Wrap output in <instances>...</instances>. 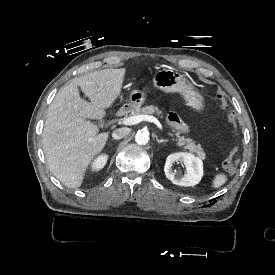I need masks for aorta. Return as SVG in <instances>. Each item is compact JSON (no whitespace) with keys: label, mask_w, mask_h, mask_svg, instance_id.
Instances as JSON below:
<instances>
[{"label":"aorta","mask_w":275,"mask_h":275,"mask_svg":"<svg viewBox=\"0 0 275 275\" xmlns=\"http://www.w3.org/2000/svg\"><path fill=\"white\" fill-rule=\"evenodd\" d=\"M149 134L145 131H140L135 135V142L138 145H146L149 142Z\"/></svg>","instance_id":"aorta-1"}]
</instances>
